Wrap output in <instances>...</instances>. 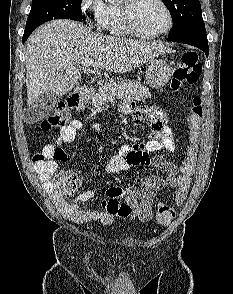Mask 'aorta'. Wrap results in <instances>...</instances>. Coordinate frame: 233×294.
Returning a JSON list of instances; mask_svg holds the SVG:
<instances>
[{
    "label": "aorta",
    "mask_w": 233,
    "mask_h": 294,
    "mask_svg": "<svg viewBox=\"0 0 233 294\" xmlns=\"http://www.w3.org/2000/svg\"><path fill=\"white\" fill-rule=\"evenodd\" d=\"M106 2H108V3H115V2H117L118 0H105Z\"/></svg>",
    "instance_id": "1"
}]
</instances>
